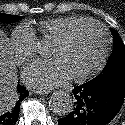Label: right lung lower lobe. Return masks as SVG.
Segmentation results:
<instances>
[{"instance_id": "right-lung-lower-lobe-1", "label": "right lung lower lobe", "mask_w": 125, "mask_h": 125, "mask_svg": "<svg viewBox=\"0 0 125 125\" xmlns=\"http://www.w3.org/2000/svg\"><path fill=\"white\" fill-rule=\"evenodd\" d=\"M17 93L19 100L8 105L5 111L0 114V125H15L20 110V100L26 98L29 95V92L25 90L21 85L17 86Z\"/></svg>"}]
</instances>
